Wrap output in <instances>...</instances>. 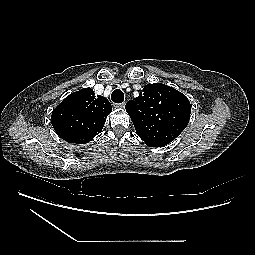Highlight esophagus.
<instances>
[{"label":"esophagus","instance_id":"34e87169","mask_svg":"<svg viewBox=\"0 0 255 255\" xmlns=\"http://www.w3.org/2000/svg\"><path fill=\"white\" fill-rule=\"evenodd\" d=\"M113 106H114L115 108L123 109V108L125 107V103L123 102V103H120V104H113Z\"/></svg>","mask_w":255,"mask_h":255}]
</instances>
